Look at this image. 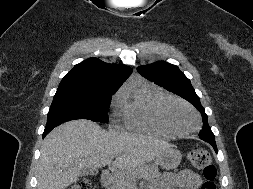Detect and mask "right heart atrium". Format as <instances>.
Wrapping results in <instances>:
<instances>
[{
  "instance_id": "right-heart-atrium-1",
  "label": "right heart atrium",
  "mask_w": 253,
  "mask_h": 189,
  "mask_svg": "<svg viewBox=\"0 0 253 189\" xmlns=\"http://www.w3.org/2000/svg\"><path fill=\"white\" fill-rule=\"evenodd\" d=\"M112 107L114 109V117L123 111V97H122V91L118 92L112 100Z\"/></svg>"
}]
</instances>
